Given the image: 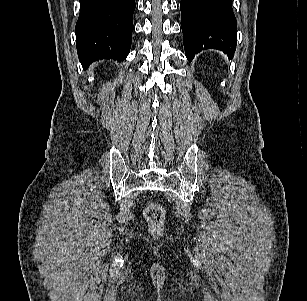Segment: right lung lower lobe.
<instances>
[{"label":"right lung lower lobe","instance_id":"obj_1","mask_svg":"<svg viewBox=\"0 0 307 301\" xmlns=\"http://www.w3.org/2000/svg\"><path fill=\"white\" fill-rule=\"evenodd\" d=\"M75 32L84 69L99 59L124 61L130 51L135 0H79Z\"/></svg>","mask_w":307,"mask_h":301}]
</instances>
